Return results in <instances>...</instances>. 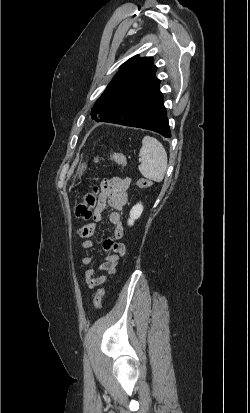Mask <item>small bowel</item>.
Listing matches in <instances>:
<instances>
[{
  "label": "small bowel",
  "instance_id": "1",
  "mask_svg": "<svg viewBox=\"0 0 250 413\" xmlns=\"http://www.w3.org/2000/svg\"><path fill=\"white\" fill-rule=\"evenodd\" d=\"M131 186L129 177H112L104 179L101 183V194L97 205L92 213L93 222L79 228L78 234L83 239L81 247L91 249L94 242L91 237L97 231V223L103 219L107 206L112 209L109 215V222L114 226L111 237L103 242V249L107 252L103 262L99 265V270L105 271L106 274L96 276L95 269L90 267L86 271V284L88 288L94 289L103 284L110 275H113L118 267L119 261L125 254V246L119 240L123 237L124 228L122 223V212L128 201V189ZM94 261L93 256L86 255L81 262L85 266H91Z\"/></svg>",
  "mask_w": 250,
  "mask_h": 413
}]
</instances>
